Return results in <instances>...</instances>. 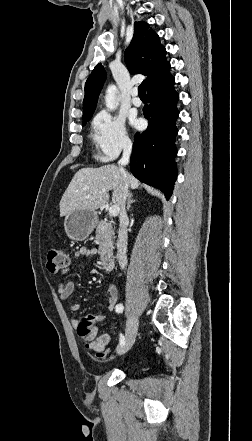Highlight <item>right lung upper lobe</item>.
I'll return each mask as SVG.
<instances>
[{"mask_svg": "<svg viewBox=\"0 0 252 441\" xmlns=\"http://www.w3.org/2000/svg\"><path fill=\"white\" fill-rule=\"evenodd\" d=\"M166 50L158 35L144 22H135L132 41L124 53L125 63L132 73L147 76L144 81L148 89L156 83L168 66ZM106 79L104 67L99 63L88 77L83 100V122L89 121L96 108L98 96Z\"/></svg>", "mask_w": 252, "mask_h": 441, "instance_id": "obj_1", "label": "right lung upper lobe"}]
</instances>
